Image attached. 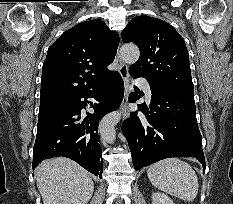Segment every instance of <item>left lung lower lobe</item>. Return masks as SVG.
Returning a JSON list of instances; mask_svg holds the SVG:
<instances>
[{"label":"left lung lower lobe","instance_id":"0a47b994","mask_svg":"<svg viewBox=\"0 0 233 204\" xmlns=\"http://www.w3.org/2000/svg\"><path fill=\"white\" fill-rule=\"evenodd\" d=\"M134 89L129 102H135L141 96L136 86ZM151 93L150 111L143 104L138 105L145 116L132 112L122 126L135 170L170 157H195L205 170L194 94L152 87Z\"/></svg>","mask_w":233,"mask_h":204}]
</instances>
